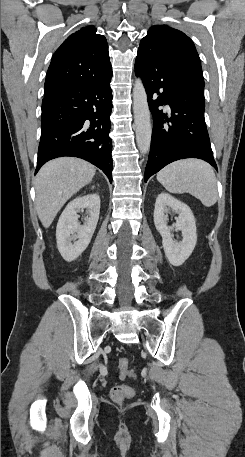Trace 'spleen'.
Segmentation results:
<instances>
[{"mask_svg":"<svg viewBox=\"0 0 245 457\" xmlns=\"http://www.w3.org/2000/svg\"><path fill=\"white\" fill-rule=\"evenodd\" d=\"M157 180L169 192H190L205 206H212L218 200L214 168L200 158H184L171 162L158 172Z\"/></svg>","mask_w":245,"mask_h":457,"instance_id":"1","label":"spleen"}]
</instances>
